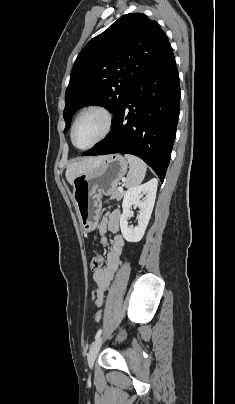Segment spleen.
<instances>
[{"label":"spleen","instance_id":"spleen-1","mask_svg":"<svg viewBox=\"0 0 235 404\" xmlns=\"http://www.w3.org/2000/svg\"><path fill=\"white\" fill-rule=\"evenodd\" d=\"M125 157L130 165L126 187L132 188L139 185L144 180L147 168L145 162L140 158L130 154H126Z\"/></svg>","mask_w":235,"mask_h":404}]
</instances>
